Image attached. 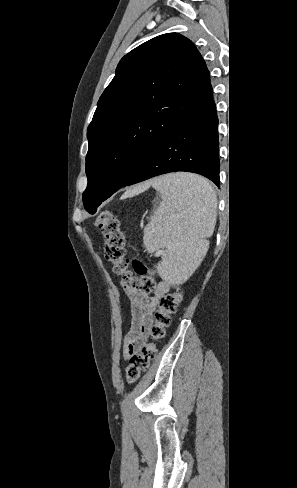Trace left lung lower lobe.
<instances>
[{"mask_svg":"<svg viewBox=\"0 0 297 488\" xmlns=\"http://www.w3.org/2000/svg\"><path fill=\"white\" fill-rule=\"evenodd\" d=\"M218 145V117L212 98L171 131L122 187L175 171L201 174L219 187Z\"/></svg>","mask_w":297,"mask_h":488,"instance_id":"0a47b994","label":"left lung lower lobe"}]
</instances>
